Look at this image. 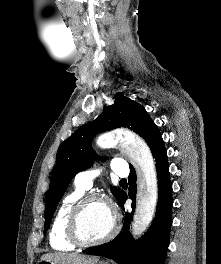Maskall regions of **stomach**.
Segmentation results:
<instances>
[{
  "label": "stomach",
  "mask_w": 221,
  "mask_h": 264,
  "mask_svg": "<svg viewBox=\"0 0 221 264\" xmlns=\"http://www.w3.org/2000/svg\"><path fill=\"white\" fill-rule=\"evenodd\" d=\"M39 264H56V263H54L53 261H48V260H40V261H39ZM99 264H108V263H106V262H101V263H99Z\"/></svg>",
  "instance_id": "0dacf381"
}]
</instances>
